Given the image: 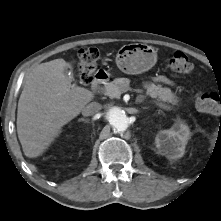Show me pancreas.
<instances>
[{
	"label": "pancreas",
	"mask_w": 221,
	"mask_h": 221,
	"mask_svg": "<svg viewBox=\"0 0 221 221\" xmlns=\"http://www.w3.org/2000/svg\"><path fill=\"white\" fill-rule=\"evenodd\" d=\"M130 80L127 78H116L112 82L107 83L103 87V93L111 98L119 97L122 93L129 90ZM146 94L157 101L164 103L166 108L173 109V107L167 105H178L179 98L168 87H162V85L151 84Z\"/></svg>",
	"instance_id": "1"
}]
</instances>
